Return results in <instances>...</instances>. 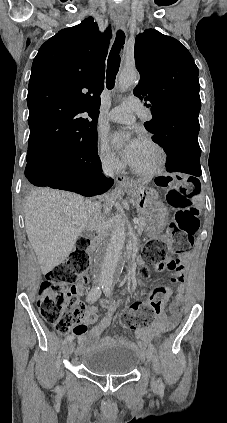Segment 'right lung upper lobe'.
Masks as SVG:
<instances>
[{"instance_id":"right-lung-upper-lobe-1","label":"right lung upper lobe","mask_w":227,"mask_h":423,"mask_svg":"<svg viewBox=\"0 0 227 423\" xmlns=\"http://www.w3.org/2000/svg\"><path fill=\"white\" fill-rule=\"evenodd\" d=\"M110 37V28L100 33L89 17L41 46L29 80L27 155L61 149L97 133Z\"/></svg>"}]
</instances>
